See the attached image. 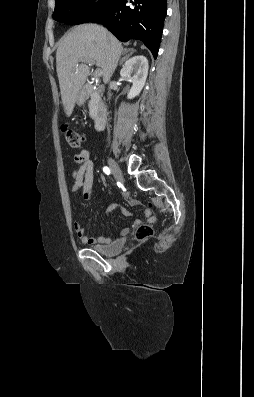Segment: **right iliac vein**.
I'll return each mask as SVG.
<instances>
[{
    "instance_id": "obj_1",
    "label": "right iliac vein",
    "mask_w": 254,
    "mask_h": 397,
    "mask_svg": "<svg viewBox=\"0 0 254 397\" xmlns=\"http://www.w3.org/2000/svg\"><path fill=\"white\" fill-rule=\"evenodd\" d=\"M108 164H109L110 170L112 171L114 177L117 180L122 181L123 180L122 171L119 168V166L116 164V162L112 158H109Z\"/></svg>"
}]
</instances>
